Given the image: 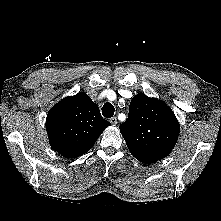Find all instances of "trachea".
Returning a JSON list of instances; mask_svg holds the SVG:
<instances>
[{
  "label": "trachea",
  "mask_w": 221,
  "mask_h": 221,
  "mask_svg": "<svg viewBox=\"0 0 221 221\" xmlns=\"http://www.w3.org/2000/svg\"><path fill=\"white\" fill-rule=\"evenodd\" d=\"M114 112H115V109L111 103L107 102L103 105L102 114L104 117L111 118V117H113Z\"/></svg>",
  "instance_id": "3493384b"
}]
</instances>
